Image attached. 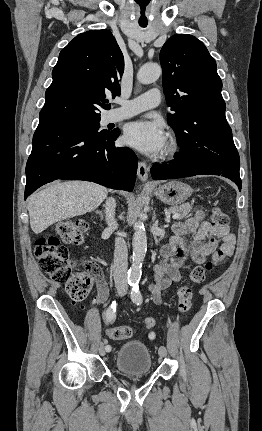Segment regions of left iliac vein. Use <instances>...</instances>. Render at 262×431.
I'll list each match as a JSON object with an SVG mask.
<instances>
[{"mask_svg":"<svg viewBox=\"0 0 262 431\" xmlns=\"http://www.w3.org/2000/svg\"><path fill=\"white\" fill-rule=\"evenodd\" d=\"M158 353H159L160 358L166 357L167 356V349H166V347L165 346H161L159 348Z\"/></svg>","mask_w":262,"mask_h":431,"instance_id":"4c4485c4","label":"left iliac vein"}]
</instances>
